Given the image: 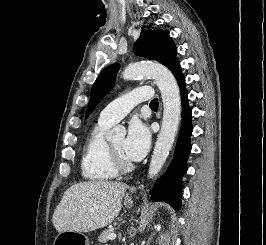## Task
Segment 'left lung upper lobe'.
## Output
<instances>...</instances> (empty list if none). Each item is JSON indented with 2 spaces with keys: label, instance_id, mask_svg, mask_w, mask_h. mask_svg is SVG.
<instances>
[{
  "label": "left lung upper lobe",
  "instance_id": "obj_1",
  "mask_svg": "<svg viewBox=\"0 0 266 245\" xmlns=\"http://www.w3.org/2000/svg\"><path fill=\"white\" fill-rule=\"evenodd\" d=\"M134 51L137 56L158 61L169 69L178 62L176 58L177 48L169 36L168 30H142L139 39L134 45ZM119 68V64H113L101 71L92 87L86 116L93 111L103 96L111 90Z\"/></svg>",
  "mask_w": 266,
  "mask_h": 245
}]
</instances>
